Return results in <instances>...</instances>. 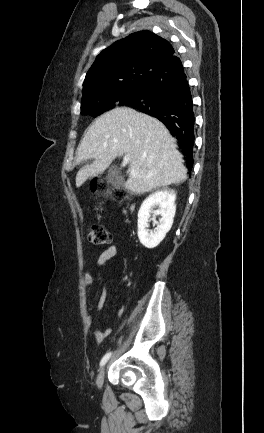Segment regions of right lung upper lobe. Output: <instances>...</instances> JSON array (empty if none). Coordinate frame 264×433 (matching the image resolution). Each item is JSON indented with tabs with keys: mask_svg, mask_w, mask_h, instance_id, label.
Returning a JSON list of instances; mask_svg holds the SVG:
<instances>
[{
	"mask_svg": "<svg viewBox=\"0 0 264 433\" xmlns=\"http://www.w3.org/2000/svg\"><path fill=\"white\" fill-rule=\"evenodd\" d=\"M174 54L171 44L156 34L147 30L133 33L97 56L86 74L82 100L141 85Z\"/></svg>",
	"mask_w": 264,
	"mask_h": 433,
	"instance_id": "1",
	"label": "right lung upper lobe"
}]
</instances>
